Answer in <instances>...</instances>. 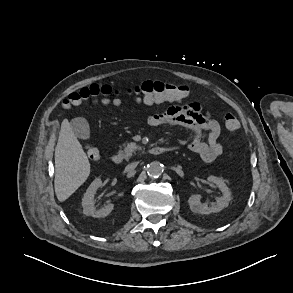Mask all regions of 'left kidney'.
I'll use <instances>...</instances> for the list:
<instances>
[{
  "mask_svg": "<svg viewBox=\"0 0 293 293\" xmlns=\"http://www.w3.org/2000/svg\"><path fill=\"white\" fill-rule=\"evenodd\" d=\"M207 180H208V183L217 185L223 194L220 197H216V203L212 204L211 206H208L205 203H201L200 195L196 194V195L190 196L188 199V203H189L191 211L194 213L210 214V213L220 212L222 209L226 208L229 205V202L231 200L230 190L227 187L225 180L223 178H218L216 176H209Z\"/></svg>",
  "mask_w": 293,
  "mask_h": 293,
  "instance_id": "1",
  "label": "left kidney"
}]
</instances>
